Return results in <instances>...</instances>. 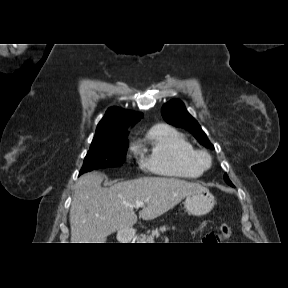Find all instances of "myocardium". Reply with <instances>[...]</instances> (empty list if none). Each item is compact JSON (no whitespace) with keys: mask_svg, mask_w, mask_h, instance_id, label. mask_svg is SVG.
<instances>
[{"mask_svg":"<svg viewBox=\"0 0 288 288\" xmlns=\"http://www.w3.org/2000/svg\"><path fill=\"white\" fill-rule=\"evenodd\" d=\"M192 159L203 170L209 169L212 165V157L205 150H194Z\"/></svg>","mask_w":288,"mask_h":288,"instance_id":"myocardium-1","label":"myocardium"}]
</instances>
